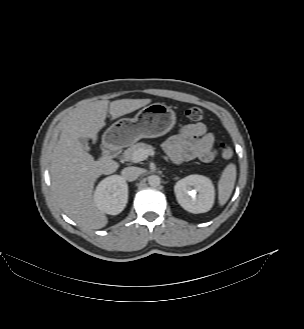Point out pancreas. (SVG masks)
Segmentation results:
<instances>
[{
	"mask_svg": "<svg viewBox=\"0 0 304 329\" xmlns=\"http://www.w3.org/2000/svg\"><path fill=\"white\" fill-rule=\"evenodd\" d=\"M139 149H153V147L151 145L143 143V142L133 144L129 148L124 150V152H123L124 160L135 162L132 160V155L135 151H137Z\"/></svg>",
	"mask_w": 304,
	"mask_h": 329,
	"instance_id": "1",
	"label": "pancreas"
}]
</instances>
